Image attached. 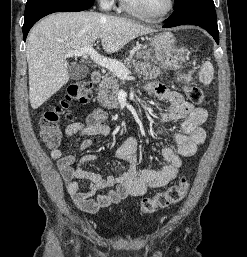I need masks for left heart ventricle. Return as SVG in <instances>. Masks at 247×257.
<instances>
[{"mask_svg":"<svg viewBox=\"0 0 247 257\" xmlns=\"http://www.w3.org/2000/svg\"><path fill=\"white\" fill-rule=\"evenodd\" d=\"M139 11L149 15L161 14L168 5V0H129Z\"/></svg>","mask_w":247,"mask_h":257,"instance_id":"left-heart-ventricle-1","label":"left heart ventricle"}]
</instances>
